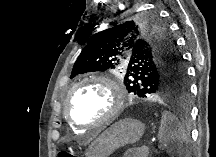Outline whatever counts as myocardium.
Segmentation results:
<instances>
[{
  "instance_id": "obj_1",
  "label": "myocardium",
  "mask_w": 216,
  "mask_h": 157,
  "mask_svg": "<svg viewBox=\"0 0 216 157\" xmlns=\"http://www.w3.org/2000/svg\"><path fill=\"white\" fill-rule=\"evenodd\" d=\"M96 83L104 87L111 95V106L109 110L98 120L90 122V123H82L77 121L72 113H71V101L73 92L86 84ZM125 105V90L123 87L114 79L103 76V75H91L88 77H84L74 83L68 91L66 98V115L69 123L76 128H91L99 125L107 124L113 121L119 113L122 111Z\"/></svg>"
}]
</instances>
